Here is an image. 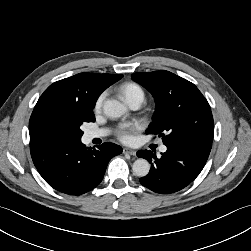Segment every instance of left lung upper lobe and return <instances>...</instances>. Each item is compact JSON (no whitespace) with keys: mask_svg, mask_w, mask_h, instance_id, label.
<instances>
[{"mask_svg":"<svg viewBox=\"0 0 251 251\" xmlns=\"http://www.w3.org/2000/svg\"><path fill=\"white\" fill-rule=\"evenodd\" d=\"M132 79L154 97L156 111L147 134H158L165 145L212 142L214 121L210 106L198 88L169 71L134 73Z\"/></svg>","mask_w":251,"mask_h":251,"instance_id":"obj_1","label":"left lung upper lobe"}]
</instances>
